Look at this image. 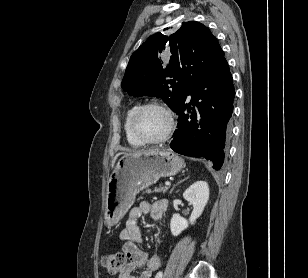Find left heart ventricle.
I'll return each instance as SVG.
<instances>
[{"label":"left heart ventricle","mask_w":308,"mask_h":278,"mask_svg":"<svg viewBox=\"0 0 308 278\" xmlns=\"http://www.w3.org/2000/svg\"><path fill=\"white\" fill-rule=\"evenodd\" d=\"M137 127L148 138H160L168 128V117L160 109L149 108L143 111L137 118Z\"/></svg>","instance_id":"left-heart-ventricle-1"}]
</instances>
